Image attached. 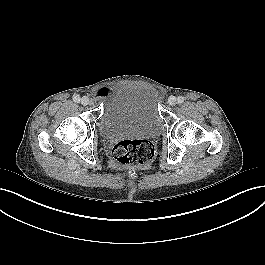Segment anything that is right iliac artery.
Returning <instances> with one entry per match:
<instances>
[{
	"instance_id": "82829eb1",
	"label": "right iliac artery",
	"mask_w": 265,
	"mask_h": 265,
	"mask_svg": "<svg viewBox=\"0 0 265 265\" xmlns=\"http://www.w3.org/2000/svg\"><path fill=\"white\" fill-rule=\"evenodd\" d=\"M73 101L76 102V103L80 102V96L77 95V94L74 95V96H73Z\"/></svg>"
}]
</instances>
